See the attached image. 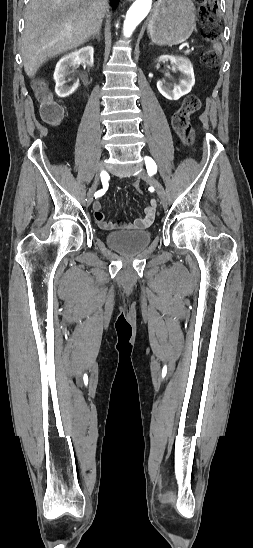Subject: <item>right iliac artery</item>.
Here are the masks:
<instances>
[{
	"instance_id": "obj_1",
	"label": "right iliac artery",
	"mask_w": 253,
	"mask_h": 548,
	"mask_svg": "<svg viewBox=\"0 0 253 548\" xmlns=\"http://www.w3.org/2000/svg\"><path fill=\"white\" fill-rule=\"evenodd\" d=\"M101 180H102V183H103V189L97 191V192L94 194L95 198H96V197L102 196V195L105 193V191H106L105 186L107 185V180H106V173H105V172H102V173H101Z\"/></svg>"
}]
</instances>
